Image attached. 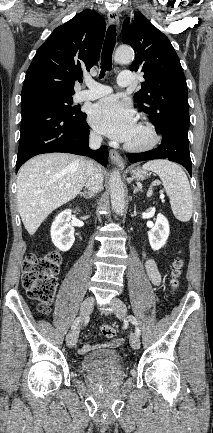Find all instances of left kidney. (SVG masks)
Returning <instances> with one entry per match:
<instances>
[{
    "mask_svg": "<svg viewBox=\"0 0 213 433\" xmlns=\"http://www.w3.org/2000/svg\"><path fill=\"white\" fill-rule=\"evenodd\" d=\"M169 233L168 220L162 214H158L155 225L148 231L151 248L155 251L161 249L166 244Z\"/></svg>",
    "mask_w": 213,
    "mask_h": 433,
    "instance_id": "5707ae66",
    "label": "left kidney"
}]
</instances>
